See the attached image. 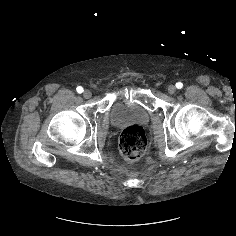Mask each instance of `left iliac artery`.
I'll use <instances>...</instances> for the list:
<instances>
[{
    "mask_svg": "<svg viewBox=\"0 0 236 236\" xmlns=\"http://www.w3.org/2000/svg\"><path fill=\"white\" fill-rule=\"evenodd\" d=\"M176 87H177L178 89H181V88L183 87V83L177 82V83H176Z\"/></svg>",
    "mask_w": 236,
    "mask_h": 236,
    "instance_id": "obj_1",
    "label": "left iliac artery"
}]
</instances>
